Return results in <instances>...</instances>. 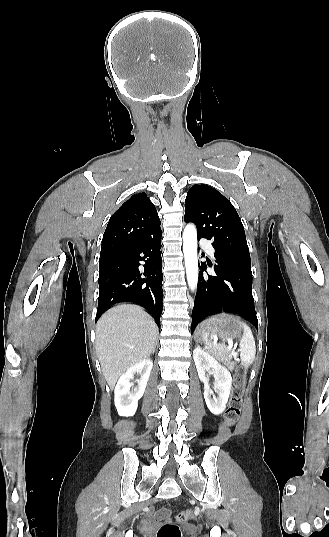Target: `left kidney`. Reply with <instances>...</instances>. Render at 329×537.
<instances>
[{"label": "left kidney", "instance_id": "left-kidney-1", "mask_svg": "<svg viewBox=\"0 0 329 537\" xmlns=\"http://www.w3.org/2000/svg\"><path fill=\"white\" fill-rule=\"evenodd\" d=\"M193 358L199 378L204 384V398L207 407L211 413L219 415L225 410L230 396L232 386L231 374L213 356L209 355L200 347L194 349ZM211 368L214 370V390L218 393L217 398L211 397L213 391L209 386V379L206 377V371Z\"/></svg>", "mask_w": 329, "mask_h": 537}]
</instances>
